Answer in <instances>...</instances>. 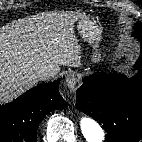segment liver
<instances>
[{
  "label": "liver",
  "instance_id": "6515ba94",
  "mask_svg": "<svg viewBox=\"0 0 142 142\" xmlns=\"http://www.w3.org/2000/svg\"><path fill=\"white\" fill-rule=\"evenodd\" d=\"M81 14L73 11L40 13L0 28V99L36 85V71L78 66L79 51L73 24Z\"/></svg>",
  "mask_w": 142,
  "mask_h": 142
}]
</instances>
